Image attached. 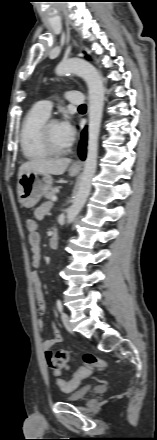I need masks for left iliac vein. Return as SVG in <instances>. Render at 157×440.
<instances>
[{"label":"left iliac vein","mask_w":157,"mask_h":440,"mask_svg":"<svg viewBox=\"0 0 157 440\" xmlns=\"http://www.w3.org/2000/svg\"><path fill=\"white\" fill-rule=\"evenodd\" d=\"M61 319H62V322H63L65 328H66L69 332H71V331H72V324H71V322H70V317H69V315H68L67 313L63 312V313L61 314Z\"/></svg>","instance_id":"obj_1"}]
</instances>
